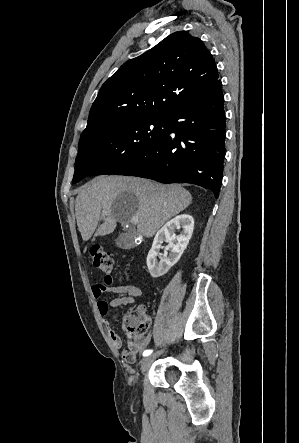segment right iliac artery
<instances>
[{
  "mask_svg": "<svg viewBox=\"0 0 299 443\" xmlns=\"http://www.w3.org/2000/svg\"><path fill=\"white\" fill-rule=\"evenodd\" d=\"M152 352H153V350H150V349L145 350V351L143 352V356H149Z\"/></svg>",
  "mask_w": 299,
  "mask_h": 443,
  "instance_id": "right-iliac-artery-1",
  "label": "right iliac artery"
}]
</instances>
